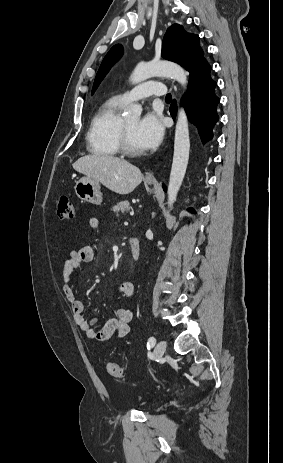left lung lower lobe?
<instances>
[{"label":"left lung lower lobe","instance_id":"0a47b994","mask_svg":"<svg viewBox=\"0 0 283 463\" xmlns=\"http://www.w3.org/2000/svg\"><path fill=\"white\" fill-rule=\"evenodd\" d=\"M188 71L190 72L189 87L183 97V104L189 120L198 128L201 141L205 144L212 139L213 126L219 119L216 107L220 99L215 95L216 82L210 77L211 67L206 60L194 64ZM176 111L174 100L170 106L173 119ZM163 188L166 190L165 186ZM188 211L195 213L192 208Z\"/></svg>","mask_w":283,"mask_h":463}]
</instances>
